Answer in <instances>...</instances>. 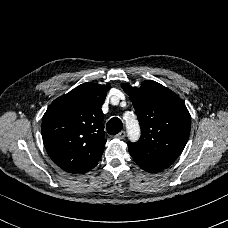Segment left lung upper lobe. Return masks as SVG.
<instances>
[{"mask_svg": "<svg viewBox=\"0 0 228 228\" xmlns=\"http://www.w3.org/2000/svg\"><path fill=\"white\" fill-rule=\"evenodd\" d=\"M141 126L138 142H128L130 155L143 169L159 172L168 168L183 151L190 133V114L181 98L154 81L141 88L122 84Z\"/></svg>", "mask_w": 228, "mask_h": 228, "instance_id": "left-lung-upper-lobe-1", "label": "left lung upper lobe"}]
</instances>
